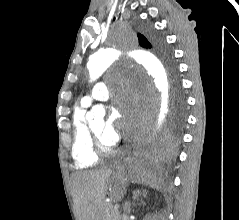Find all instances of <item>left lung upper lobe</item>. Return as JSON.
Returning a JSON list of instances; mask_svg holds the SVG:
<instances>
[{
  "label": "left lung upper lobe",
  "mask_w": 239,
  "mask_h": 220,
  "mask_svg": "<svg viewBox=\"0 0 239 220\" xmlns=\"http://www.w3.org/2000/svg\"><path fill=\"white\" fill-rule=\"evenodd\" d=\"M147 36V37H146ZM146 36L141 33L138 34L139 43L142 47L151 48L152 46L159 51V54L163 57L165 62L167 63L172 79L175 84V115L173 124L178 127L182 124L183 121V109H184V99L182 92L179 87V83L177 80V71L176 67L171 59V55L167 51L164 46L163 40L160 36L148 30L146 32Z\"/></svg>",
  "instance_id": "obj_1"
}]
</instances>
